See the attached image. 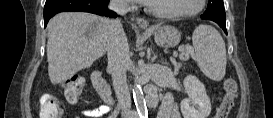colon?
I'll return each mask as SVG.
<instances>
[{"instance_id":"obj_1","label":"colon","mask_w":273,"mask_h":118,"mask_svg":"<svg viewBox=\"0 0 273 118\" xmlns=\"http://www.w3.org/2000/svg\"><path fill=\"white\" fill-rule=\"evenodd\" d=\"M82 80H71L66 84V93L69 101L76 102L81 94ZM224 96L216 111L214 118H228L234 106L237 93V83L233 78L223 81ZM64 111L63 102L54 95L44 94L40 98L41 118H60Z\"/></svg>"}]
</instances>
